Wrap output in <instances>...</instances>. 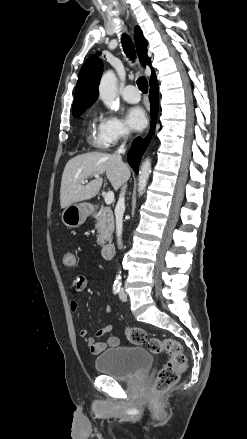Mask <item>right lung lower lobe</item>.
<instances>
[{
    "mask_svg": "<svg viewBox=\"0 0 247 439\" xmlns=\"http://www.w3.org/2000/svg\"><path fill=\"white\" fill-rule=\"evenodd\" d=\"M150 103H151V129L149 135L142 139L141 137L136 138L131 146L130 151L128 152L127 159L130 166L133 168L135 173H138V167L140 160L142 158L143 153L145 152L150 139L153 134V130L156 125V119L158 114V83L157 80H154L150 83Z\"/></svg>",
    "mask_w": 247,
    "mask_h": 439,
    "instance_id": "right-lung-lower-lobe-1",
    "label": "right lung lower lobe"
}]
</instances>
